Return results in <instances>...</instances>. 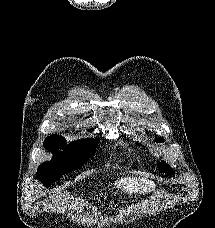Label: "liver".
Segmentation results:
<instances>
[{"instance_id":"6515ba94","label":"liver","mask_w":215,"mask_h":228,"mask_svg":"<svg viewBox=\"0 0 215 228\" xmlns=\"http://www.w3.org/2000/svg\"><path fill=\"white\" fill-rule=\"evenodd\" d=\"M109 186H114V188H120L121 194H148V192H153L156 184L150 182L147 178H121V180H116L115 184H109Z\"/></svg>"}]
</instances>
